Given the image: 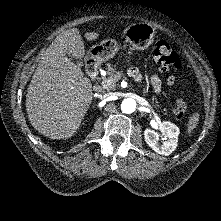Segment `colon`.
<instances>
[{
	"label": "colon",
	"mask_w": 221,
	"mask_h": 221,
	"mask_svg": "<svg viewBox=\"0 0 221 221\" xmlns=\"http://www.w3.org/2000/svg\"><path fill=\"white\" fill-rule=\"evenodd\" d=\"M154 60L159 66L168 72L177 74L183 70V62L178 53L165 40H158L153 50ZM186 113V101L179 98L174 107V114L178 119H182Z\"/></svg>",
	"instance_id": "1"
}]
</instances>
